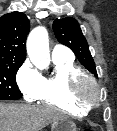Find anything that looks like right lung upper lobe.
<instances>
[{"instance_id":"cb5924a9","label":"right lung upper lobe","mask_w":117,"mask_h":131,"mask_svg":"<svg viewBox=\"0 0 117 131\" xmlns=\"http://www.w3.org/2000/svg\"><path fill=\"white\" fill-rule=\"evenodd\" d=\"M29 30V20L21 12L8 13L0 18V64H23Z\"/></svg>"}]
</instances>
